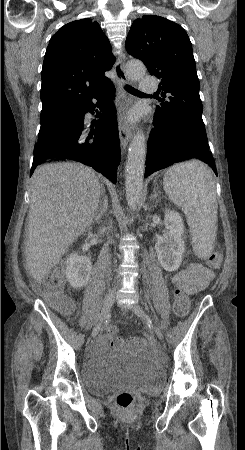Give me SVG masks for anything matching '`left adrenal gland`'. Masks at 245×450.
I'll return each mask as SVG.
<instances>
[{"mask_svg": "<svg viewBox=\"0 0 245 450\" xmlns=\"http://www.w3.org/2000/svg\"><path fill=\"white\" fill-rule=\"evenodd\" d=\"M157 198V190L156 188H154L153 193L150 196V200H154Z\"/></svg>", "mask_w": 245, "mask_h": 450, "instance_id": "obj_1", "label": "left adrenal gland"}]
</instances>
